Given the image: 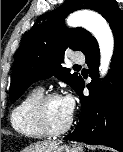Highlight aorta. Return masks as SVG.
I'll return each instance as SVG.
<instances>
[{"mask_svg": "<svg viewBox=\"0 0 123 152\" xmlns=\"http://www.w3.org/2000/svg\"><path fill=\"white\" fill-rule=\"evenodd\" d=\"M69 27H83L96 38L100 48V67L102 76L109 69L114 51V37L107 21L98 13L92 11H78L67 18Z\"/></svg>", "mask_w": 123, "mask_h": 152, "instance_id": "1", "label": "aorta"}]
</instances>
